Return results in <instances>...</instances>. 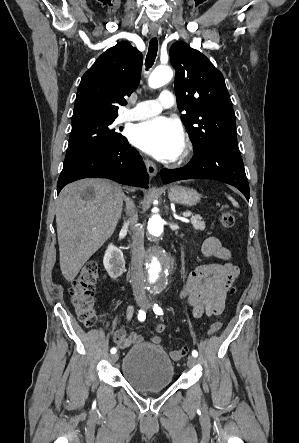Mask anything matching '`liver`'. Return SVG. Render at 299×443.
<instances>
[{"instance_id": "obj_1", "label": "liver", "mask_w": 299, "mask_h": 443, "mask_svg": "<svg viewBox=\"0 0 299 443\" xmlns=\"http://www.w3.org/2000/svg\"><path fill=\"white\" fill-rule=\"evenodd\" d=\"M122 187L105 179L65 186L56 202L60 269L73 281L88 259L113 234L121 217Z\"/></svg>"}]
</instances>
